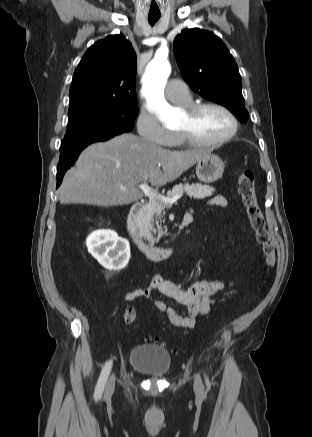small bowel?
<instances>
[{"instance_id":"small-bowel-1","label":"small bowel","mask_w":312,"mask_h":437,"mask_svg":"<svg viewBox=\"0 0 312 437\" xmlns=\"http://www.w3.org/2000/svg\"><path fill=\"white\" fill-rule=\"evenodd\" d=\"M211 205L224 207L226 200L222 196H215ZM193 220V216L190 215ZM224 284L217 280H199L188 286H181L175 282L165 279L160 274L152 275L146 287L136 288L125 295V301L131 302L140 297L152 301L154 307L166 313L168 321L177 327L191 329L196 324V319L207 315L213 304V296ZM165 298L171 299L186 308L183 313Z\"/></svg>"}]
</instances>
